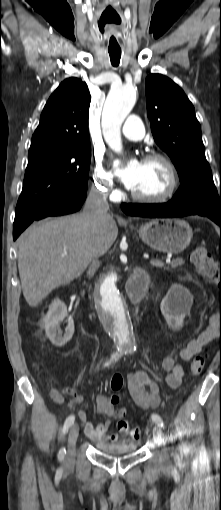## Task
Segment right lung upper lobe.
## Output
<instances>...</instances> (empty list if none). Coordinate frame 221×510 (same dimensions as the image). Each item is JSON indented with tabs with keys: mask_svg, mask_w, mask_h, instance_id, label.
Listing matches in <instances>:
<instances>
[{
	"mask_svg": "<svg viewBox=\"0 0 221 510\" xmlns=\"http://www.w3.org/2000/svg\"><path fill=\"white\" fill-rule=\"evenodd\" d=\"M90 93L78 78L64 80L48 99L35 130L28 156L90 144Z\"/></svg>",
	"mask_w": 221,
	"mask_h": 510,
	"instance_id": "cb5924a9",
	"label": "right lung upper lobe"
}]
</instances>
